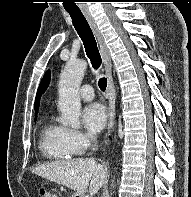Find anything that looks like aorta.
<instances>
[{
	"instance_id": "obj_1",
	"label": "aorta",
	"mask_w": 191,
	"mask_h": 197,
	"mask_svg": "<svg viewBox=\"0 0 191 197\" xmlns=\"http://www.w3.org/2000/svg\"><path fill=\"white\" fill-rule=\"evenodd\" d=\"M87 68L84 60L69 61L61 75L58 86L59 122L74 129L80 128L81 102L79 88Z\"/></svg>"
}]
</instances>
